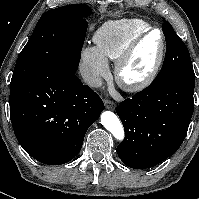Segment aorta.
Instances as JSON below:
<instances>
[{
  "label": "aorta",
  "mask_w": 199,
  "mask_h": 199,
  "mask_svg": "<svg viewBox=\"0 0 199 199\" xmlns=\"http://www.w3.org/2000/svg\"><path fill=\"white\" fill-rule=\"evenodd\" d=\"M102 125L119 141L124 139V129L118 117L111 111L101 114Z\"/></svg>",
  "instance_id": "aorta-1"
}]
</instances>
